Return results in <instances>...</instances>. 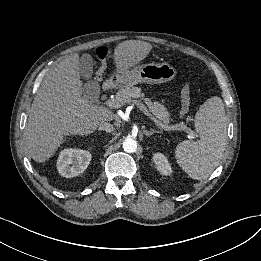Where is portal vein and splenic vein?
Listing matches in <instances>:
<instances>
[{
	"instance_id": "18ae733b",
	"label": "portal vein and splenic vein",
	"mask_w": 261,
	"mask_h": 261,
	"mask_svg": "<svg viewBox=\"0 0 261 261\" xmlns=\"http://www.w3.org/2000/svg\"><path fill=\"white\" fill-rule=\"evenodd\" d=\"M105 104L109 107V108H121L122 104L120 103L119 100L116 99H109L105 102ZM139 110H141L144 115L148 116L150 119L153 120L152 115L149 113V111L147 110V108L144 106V104H142L141 102L135 101L134 103ZM160 128L164 129V130H181L182 128H179L178 125H174V126H165L163 124H157ZM192 131H190V134L192 136Z\"/></svg>"
}]
</instances>
